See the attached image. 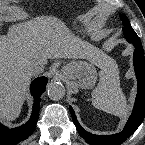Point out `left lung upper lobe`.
Here are the masks:
<instances>
[{"instance_id":"1","label":"left lung upper lobe","mask_w":145,"mask_h":145,"mask_svg":"<svg viewBox=\"0 0 145 145\" xmlns=\"http://www.w3.org/2000/svg\"><path fill=\"white\" fill-rule=\"evenodd\" d=\"M120 16H121V20H122V22L125 26L123 28V30H124V36L127 39V41L130 42V43L141 44L138 36L136 35V33L131 28L129 20L127 19V17L123 14H121Z\"/></svg>"}]
</instances>
